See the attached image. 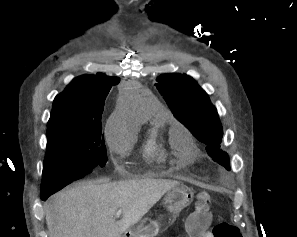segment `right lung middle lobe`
Masks as SVG:
<instances>
[{
  "instance_id": "dd1d6c3e",
  "label": "right lung middle lobe",
  "mask_w": 297,
  "mask_h": 237,
  "mask_svg": "<svg viewBox=\"0 0 297 237\" xmlns=\"http://www.w3.org/2000/svg\"><path fill=\"white\" fill-rule=\"evenodd\" d=\"M107 161L101 123L64 122L48 126L42 193H55Z\"/></svg>"
}]
</instances>
